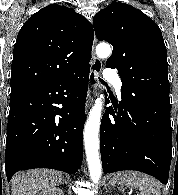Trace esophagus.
Listing matches in <instances>:
<instances>
[{"label": "esophagus", "mask_w": 178, "mask_h": 195, "mask_svg": "<svg viewBox=\"0 0 178 195\" xmlns=\"http://www.w3.org/2000/svg\"><path fill=\"white\" fill-rule=\"evenodd\" d=\"M97 39H94V45L92 50V62L90 68V79L91 81H96V75H98L102 70V62L101 60L95 55L94 47L96 46ZM98 84L97 82H92L91 89L88 91L87 100L85 104V112L87 113L91 105L93 104L94 97L97 94Z\"/></svg>", "instance_id": "1"}]
</instances>
